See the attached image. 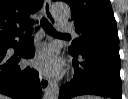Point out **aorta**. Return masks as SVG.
<instances>
[{
  "label": "aorta",
  "instance_id": "1",
  "mask_svg": "<svg viewBox=\"0 0 128 99\" xmlns=\"http://www.w3.org/2000/svg\"><path fill=\"white\" fill-rule=\"evenodd\" d=\"M52 11L57 19H67L71 15L70 7L67 3L57 1L52 5ZM59 85L57 83L51 84L46 90L43 99H58Z\"/></svg>",
  "mask_w": 128,
  "mask_h": 99
}]
</instances>
